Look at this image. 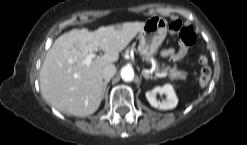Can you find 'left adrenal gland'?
I'll list each match as a JSON object with an SVG mask.
<instances>
[{
	"instance_id": "1",
	"label": "left adrenal gland",
	"mask_w": 247,
	"mask_h": 145,
	"mask_svg": "<svg viewBox=\"0 0 247 145\" xmlns=\"http://www.w3.org/2000/svg\"><path fill=\"white\" fill-rule=\"evenodd\" d=\"M142 75H143V77L146 79V80H148V79H156V78H154L152 75H148L145 71H142Z\"/></svg>"
}]
</instances>
